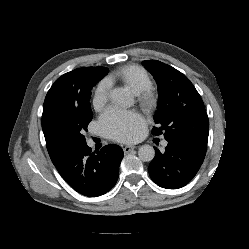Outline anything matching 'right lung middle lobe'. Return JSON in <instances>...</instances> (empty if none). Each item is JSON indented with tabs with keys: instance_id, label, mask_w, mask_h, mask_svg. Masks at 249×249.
<instances>
[{
	"instance_id": "obj_1",
	"label": "right lung middle lobe",
	"mask_w": 249,
	"mask_h": 249,
	"mask_svg": "<svg viewBox=\"0 0 249 249\" xmlns=\"http://www.w3.org/2000/svg\"><path fill=\"white\" fill-rule=\"evenodd\" d=\"M108 71L105 67H92L77 103H69L61 112L53 116L50 132L58 146L64 147L86 143L83 132L87 131V126L93 117L89 101L91 90Z\"/></svg>"
}]
</instances>
